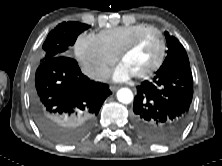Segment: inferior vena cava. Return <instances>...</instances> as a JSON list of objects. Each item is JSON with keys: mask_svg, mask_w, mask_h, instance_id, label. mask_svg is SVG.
<instances>
[{"mask_svg": "<svg viewBox=\"0 0 222 166\" xmlns=\"http://www.w3.org/2000/svg\"><path fill=\"white\" fill-rule=\"evenodd\" d=\"M87 75L89 78L95 81L104 82L110 77L111 72L108 67H101V68L88 71Z\"/></svg>", "mask_w": 222, "mask_h": 166, "instance_id": "inferior-vena-cava-1", "label": "inferior vena cava"}]
</instances>
